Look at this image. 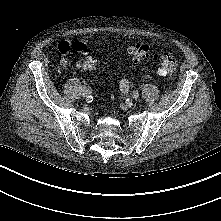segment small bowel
<instances>
[{
  "instance_id": "1",
  "label": "small bowel",
  "mask_w": 221,
  "mask_h": 221,
  "mask_svg": "<svg viewBox=\"0 0 221 221\" xmlns=\"http://www.w3.org/2000/svg\"><path fill=\"white\" fill-rule=\"evenodd\" d=\"M58 51L61 53L62 58L60 59L59 65L62 68H68L69 67V61H68V56L72 51L78 52L82 54L83 56L88 54V49L87 46L79 41L75 42H66V41H61L57 45ZM74 67L76 69L82 68V60L77 61L74 64Z\"/></svg>"
}]
</instances>
